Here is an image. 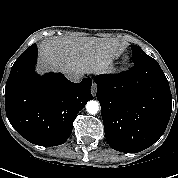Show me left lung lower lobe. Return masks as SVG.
<instances>
[{
	"mask_svg": "<svg viewBox=\"0 0 178 178\" xmlns=\"http://www.w3.org/2000/svg\"><path fill=\"white\" fill-rule=\"evenodd\" d=\"M96 97L107 143L115 150L137 153L164 133L172 110L168 80L156 60L134 64L116 75H99Z\"/></svg>",
	"mask_w": 178,
	"mask_h": 178,
	"instance_id": "1",
	"label": "left lung lower lobe"
}]
</instances>
